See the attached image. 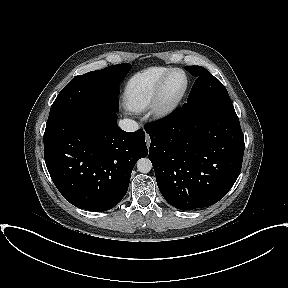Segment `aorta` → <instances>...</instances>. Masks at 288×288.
<instances>
[{
    "mask_svg": "<svg viewBox=\"0 0 288 288\" xmlns=\"http://www.w3.org/2000/svg\"><path fill=\"white\" fill-rule=\"evenodd\" d=\"M152 169V163L148 158H141L137 161V170L141 173H148Z\"/></svg>",
    "mask_w": 288,
    "mask_h": 288,
    "instance_id": "762f6f07",
    "label": "aorta"
}]
</instances>
